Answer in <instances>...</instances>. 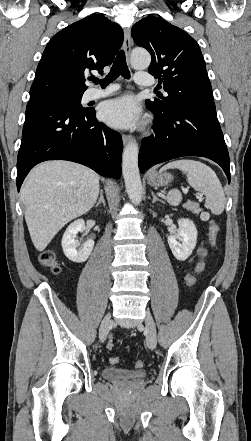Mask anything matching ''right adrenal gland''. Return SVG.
<instances>
[{"label":"right adrenal gland","mask_w":251,"mask_h":441,"mask_svg":"<svg viewBox=\"0 0 251 441\" xmlns=\"http://www.w3.org/2000/svg\"><path fill=\"white\" fill-rule=\"evenodd\" d=\"M100 204H103V206H106V202L103 196V190H100V197L98 199V202L96 203L95 207H98Z\"/></svg>","instance_id":"right-adrenal-gland-1"}]
</instances>
